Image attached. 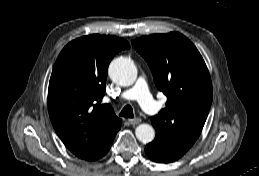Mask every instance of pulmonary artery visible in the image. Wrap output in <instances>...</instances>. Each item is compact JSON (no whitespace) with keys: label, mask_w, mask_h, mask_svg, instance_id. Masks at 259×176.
<instances>
[{"label":"pulmonary artery","mask_w":259,"mask_h":176,"mask_svg":"<svg viewBox=\"0 0 259 176\" xmlns=\"http://www.w3.org/2000/svg\"><path fill=\"white\" fill-rule=\"evenodd\" d=\"M121 98L125 100H137L142 109L149 114H154L157 110V104L149 93L144 77H139L133 87L122 93Z\"/></svg>","instance_id":"1"}]
</instances>
